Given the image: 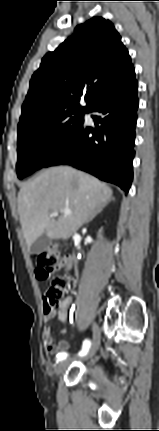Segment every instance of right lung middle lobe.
<instances>
[{
	"label": "right lung middle lobe",
	"mask_w": 159,
	"mask_h": 431,
	"mask_svg": "<svg viewBox=\"0 0 159 431\" xmlns=\"http://www.w3.org/2000/svg\"><path fill=\"white\" fill-rule=\"evenodd\" d=\"M85 111H66L18 130L17 175L43 168L54 152L82 125Z\"/></svg>",
	"instance_id": "obj_1"
}]
</instances>
